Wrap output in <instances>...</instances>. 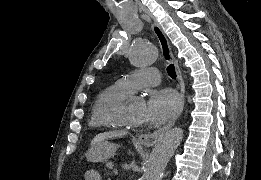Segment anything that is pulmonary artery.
<instances>
[{
    "label": "pulmonary artery",
    "instance_id": "obj_1",
    "mask_svg": "<svg viewBox=\"0 0 261 180\" xmlns=\"http://www.w3.org/2000/svg\"><path fill=\"white\" fill-rule=\"evenodd\" d=\"M161 79L158 69H136L121 77L117 84L127 93L133 89H154V84Z\"/></svg>",
    "mask_w": 261,
    "mask_h": 180
}]
</instances>
